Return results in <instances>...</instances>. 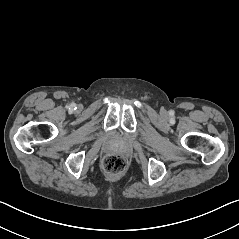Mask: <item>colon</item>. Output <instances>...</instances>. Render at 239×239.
I'll return each mask as SVG.
<instances>
[{"label": "colon", "instance_id": "1", "mask_svg": "<svg viewBox=\"0 0 239 239\" xmlns=\"http://www.w3.org/2000/svg\"><path fill=\"white\" fill-rule=\"evenodd\" d=\"M126 159L117 154L107 155L102 162L103 168L110 174H117L122 172L126 167Z\"/></svg>", "mask_w": 239, "mask_h": 239}]
</instances>
